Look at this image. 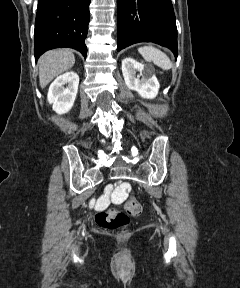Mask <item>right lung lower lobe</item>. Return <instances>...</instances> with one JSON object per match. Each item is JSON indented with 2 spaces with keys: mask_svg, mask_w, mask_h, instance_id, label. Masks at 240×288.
<instances>
[{
  "mask_svg": "<svg viewBox=\"0 0 240 288\" xmlns=\"http://www.w3.org/2000/svg\"><path fill=\"white\" fill-rule=\"evenodd\" d=\"M91 0H38L35 20L34 55L69 47L86 58L85 39L90 19Z\"/></svg>",
  "mask_w": 240,
  "mask_h": 288,
  "instance_id": "1",
  "label": "right lung lower lobe"
}]
</instances>
